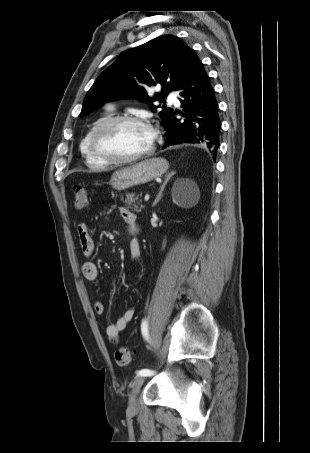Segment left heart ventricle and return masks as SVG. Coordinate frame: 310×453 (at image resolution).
Listing matches in <instances>:
<instances>
[{
  "label": "left heart ventricle",
  "mask_w": 310,
  "mask_h": 453,
  "mask_svg": "<svg viewBox=\"0 0 310 453\" xmlns=\"http://www.w3.org/2000/svg\"><path fill=\"white\" fill-rule=\"evenodd\" d=\"M151 145L148 128L133 123L115 126L102 135L100 147L114 157H130L146 150Z\"/></svg>",
  "instance_id": "1"
}]
</instances>
